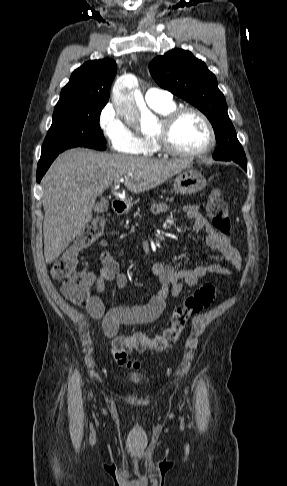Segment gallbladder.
<instances>
[{"label": "gallbladder", "instance_id": "gallbladder-1", "mask_svg": "<svg viewBox=\"0 0 287 486\" xmlns=\"http://www.w3.org/2000/svg\"><path fill=\"white\" fill-rule=\"evenodd\" d=\"M108 209V205L105 201H100L94 206V212L97 214H102L106 212Z\"/></svg>", "mask_w": 287, "mask_h": 486}]
</instances>
